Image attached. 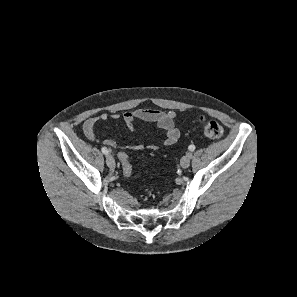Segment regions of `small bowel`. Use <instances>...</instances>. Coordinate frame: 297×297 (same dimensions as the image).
Segmentation results:
<instances>
[{
    "mask_svg": "<svg viewBox=\"0 0 297 297\" xmlns=\"http://www.w3.org/2000/svg\"><path fill=\"white\" fill-rule=\"evenodd\" d=\"M120 118V115L117 113H108L103 112L98 115H93L89 117L83 126V131L85 136L93 142L98 141V137L95 133V126L99 121H107L110 119L117 120ZM175 113L174 112H165L155 109H144L139 108L132 111L125 112L122 115V119L130 131L135 130V123L137 121H144L149 123L156 124L161 130H163L165 134L164 144L167 146L174 145L180 136L179 130L176 128L174 123ZM103 144L109 148H117L119 144L110 138H104ZM123 149L126 150H133V151H141L143 149H147L150 151L157 150V145L149 144L144 145L142 143L135 144V145H123L121 146ZM126 153L125 151H121Z\"/></svg>",
    "mask_w": 297,
    "mask_h": 297,
    "instance_id": "small-bowel-1",
    "label": "small bowel"
}]
</instances>
